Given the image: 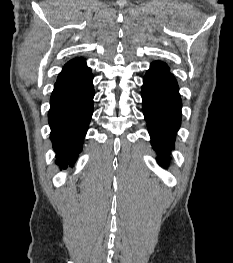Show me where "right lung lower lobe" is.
<instances>
[{
    "label": "right lung lower lobe",
    "mask_w": 233,
    "mask_h": 263,
    "mask_svg": "<svg viewBox=\"0 0 233 263\" xmlns=\"http://www.w3.org/2000/svg\"><path fill=\"white\" fill-rule=\"evenodd\" d=\"M93 75L87 66L62 70L50 98L48 121L56 164L72 166L82 150L93 113Z\"/></svg>",
    "instance_id": "98d812e1"
}]
</instances>
